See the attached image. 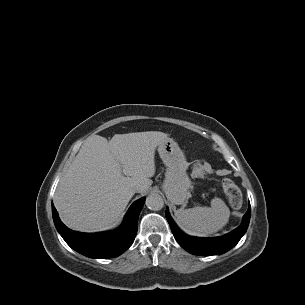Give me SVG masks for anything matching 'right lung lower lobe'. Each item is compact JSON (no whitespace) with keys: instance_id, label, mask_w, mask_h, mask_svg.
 <instances>
[{"instance_id":"right-lung-lower-lobe-1","label":"right lung lower lobe","mask_w":305,"mask_h":305,"mask_svg":"<svg viewBox=\"0 0 305 305\" xmlns=\"http://www.w3.org/2000/svg\"><path fill=\"white\" fill-rule=\"evenodd\" d=\"M145 199L143 197L135 201L120 228L110 232L80 233L72 231L61 222L53 204L52 215L58 232L72 249L90 258H113L122 254L134 242L139 213Z\"/></svg>"}]
</instances>
